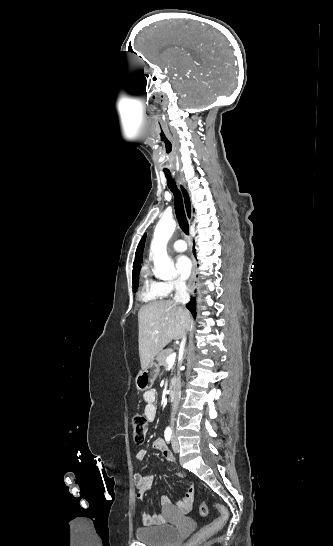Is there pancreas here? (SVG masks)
Instances as JSON below:
<instances>
[{
  "label": "pancreas",
  "instance_id": "1",
  "mask_svg": "<svg viewBox=\"0 0 333 546\" xmlns=\"http://www.w3.org/2000/svg\"><path fill=\"white\" fill-rule=\"evenodd\" d=\"M172 349L171 348H167V349H164V350H161L158 354H157V357H156V360L158 362V364L160 366H164L166 367L167 366V362H166V359L167 357L172 353Z\"/></svg>",
  "mask_w": 333,
  "mask_h": 546
}]
</instances>
